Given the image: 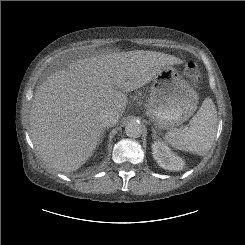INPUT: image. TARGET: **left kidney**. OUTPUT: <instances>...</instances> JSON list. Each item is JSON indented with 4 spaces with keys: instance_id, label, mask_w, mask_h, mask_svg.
Here are the masks:
<instances>
[{
    "instance_id": "obj_1",
    "label": "left kidney",
    "mask_w": 245,
    "mask_h": 245,
    "mask_svg": "<svg viewBox=\"0 0 245 245\" xmlns=\"http://www.w3.org/2000/svg\"><path fill=\"white\" fill-rule=\"evenodd\" d=\"M152 154L158 165L164 169L176 171L183 169V159L171 152L164 142L155 141L152 144Z\"/></svg>"
}]
</instances>
